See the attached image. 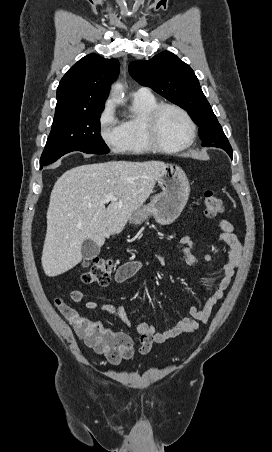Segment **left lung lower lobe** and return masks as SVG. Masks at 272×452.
Segmentation results:
<instances>
[{
	"instance_id": "left-lung-lower-lobe-1",
	"label": "left lung lower lobe",
	"mask_w": 272,
	"mask_h": 452,
	"mask_svg": "<svg viewBox=\"0 0 272 452\" xmlns=\"http://www.w3.org/2000/svg\"><path fill=\"white\" fill-rule=\"evenodd\" d=\"M226 152L229 154L231 158L233 157V151L231 146H226Z\"/></svg>"
}]
</instances>
